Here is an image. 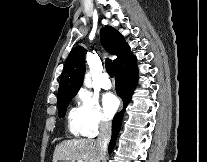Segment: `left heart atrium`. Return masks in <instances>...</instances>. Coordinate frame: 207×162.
Segmentation results:
<instances>
[{"mask_svg": "<svg viewBox=\"0 0 207 162\" xmlns=\"http://www.w3.org/2000/svg\"><path fill=\"white\" fill-rule=\"evenodd\" d=\"M102 104L105 115L110 118L117 110L119 101L114 94L107 93L103 96Z\"/></svg>", "mask_w": 207, "mask_h": 162, "instance_id": "39dd6f15", "label": "left heart atrium"}]
</instances>
